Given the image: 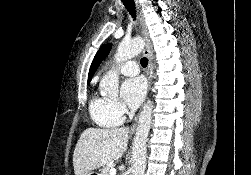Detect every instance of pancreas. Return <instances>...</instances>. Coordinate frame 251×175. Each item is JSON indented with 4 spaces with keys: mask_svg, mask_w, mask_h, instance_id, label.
I'll use <instances>...</instances> for the list:
<instances>
[{
    "mask_svg": "<svg viewBox=\"0 0 251 175\" xmlns=\"http://www.w3.org/2000/svg\"><path fill=\"white\" fill-rule=\"evenodd\" d=\"M113 163H108V165H104V167H102L99 175H110V169L112 167Z\"/></svg>",
    "mask_w": 251,
    "mask_h": 175,
    "instance_id": "1",
    "label": "pancreas"
}]
</instances>
